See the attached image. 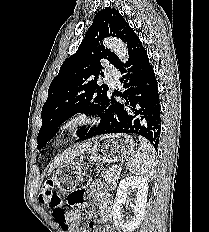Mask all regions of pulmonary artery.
<instances>
[{
	"label": "pulmonary artery",
	"mask_w": 209,
	"mask_h": 232,
	"mask_svg": "<svg viewBox=\"0 0 209 232\" xmlns=\"http://www.w3.org/2000/svg\"><path fill=\"white\" fill-rule=\"evenodd\" d=\"M106 79L112 84L115 85L117 82L118 72L114 68L107 69L106 73Z\"/></svg>",
	"instance_id": "1"
}]
</instances>
